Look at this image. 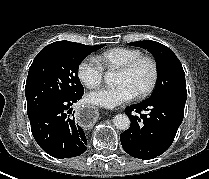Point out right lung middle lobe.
I'll return each instance as SVG.
<instances>
[{"instance_id":"1","label":"right lung middle lobe","mask_w":209,"mask_h":179,"mask_svg":"<svg viewBox=\"0 0 209 179\" xmlns=\"http://www.w3.org/2000/svg\"><path fill=\"white\" fill-rule=\"evenodd\" d=\"M104 45L51 43L35 57L25 86L28 117L51 102L84 93L78 78L81 61Z\"/></svg>"}]
</instances>
